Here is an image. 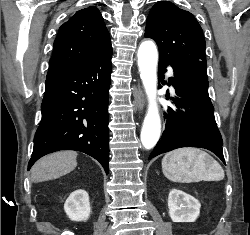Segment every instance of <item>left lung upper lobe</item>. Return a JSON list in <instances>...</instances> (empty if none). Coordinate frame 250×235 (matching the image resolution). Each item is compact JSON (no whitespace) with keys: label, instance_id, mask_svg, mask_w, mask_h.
<instances>
[{"label":"left lung upper lobe","instance_id":"1","mask_svg":"<svg viewBox=\"0 0 250 235\" xmlns=\"http://www.w3.org/2000/svg\"><path fill=\"white\" fill-rule=\"evenodd\" d=\"M145 37L157 43L159 60L170 64L200 61L206 65L202 28L190 12L171 2L161 1L152 7Z\"/></svg>","mask_w":250,"mask_h":235}]
</instances>
